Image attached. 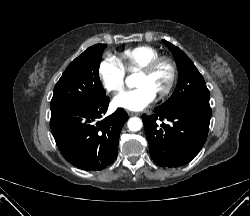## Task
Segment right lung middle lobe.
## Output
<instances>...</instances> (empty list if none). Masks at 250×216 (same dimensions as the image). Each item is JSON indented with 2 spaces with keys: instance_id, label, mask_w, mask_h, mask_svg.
<instances>
[{
  "instance_id": "right-lung-middle-lobe-1",
  "label": "right lung middle lobe",
  "mask_w": 250,
  "mask_h": 216,
  "mask_svg": "<svg viewBox=\"0 0 250 216\" xmlns=\"http://www.w3.org/2000/svg\"><path fill=\"white\" fill-rule=\"evenodd\" d=\"M105 44L89 47L66 68L54 88L51 115L106 97L99 78V65Z\"/></svg>"
}]
</instances>
